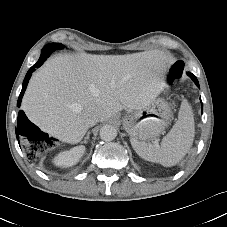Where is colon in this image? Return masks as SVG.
<instances>
[{
	"mask_svg": "<svg viewBox=\"0 0 227 227\" xmlns=\"http://www.w3.org/2000/svg\"><path fill=\"white\" fill-rule=\"evenodd\" d=\"M184 65L181 61H175L168 66L167 80L170 84L179 80L183 74ZM32 144L27 146V155L29 158L33 159L36 156V147L39 146L40 149L46 150L52 146V141L47 134L38 133L34 138H32Z\"/></svg>",
	"mask_w": 227,
	"mask_h": 227,
	"instance_id": "colon-1",
	"label": "colon"
}]
</instances>
